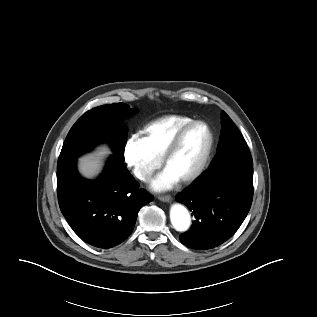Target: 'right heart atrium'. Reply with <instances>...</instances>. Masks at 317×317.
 <instances>
[{"instance_id": "obj_1", "label": "right heart atrium", "mask_w": 317, "mask_h": 317, "mask_svg": "<svg viewBox=\"0 0 317 317\" xmlns=\"http://www.w3.org/2000/svg\"><path fill=\"white\" fill-rule=\"evenodd\" d=\"M123 158L132 174L141 182H148L162 163V159L153 155L144 140L137 135L127 140Z\"/></svg>"}]
</instances>
